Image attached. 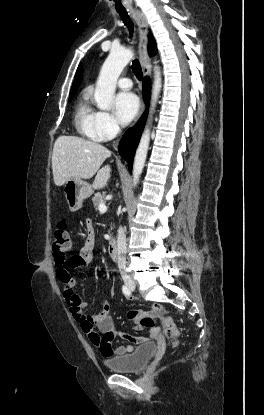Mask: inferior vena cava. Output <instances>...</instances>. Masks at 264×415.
<instances>
[{
	"mask_svg": "<svg viewBox=\"0 0 264 415\" xmlns=\"http://www.w3.org/2000/svg\"><path fill=\"white\" fill-rule=\"evenodd\" d=\"M126 253V235L124 229L119 227L117 236V263L122 276L126 274Z\"/></svg>",
	"mask_w": 264,
	"mask_h": 415,
	"instance_id": "inferior-vena-cava-1",
	"label": "inferior vena cava"
}]
</instances>
